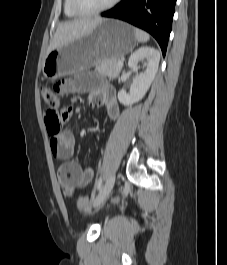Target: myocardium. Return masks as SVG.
Masks as SVG:
<instances>
[{"label": "myocardium", "instance_id": "obj_1", "mask_svg": "<svg viewBox=\"0 0 227 265\" xmlns=\"http://www.w3.org/2000/svg\"><path fill=\"white\" fill-rule=\"evenodd\" d=\"M71 1V6L72 9L79 15H96V14H100L103 13L105 11L110 10L111 8H113L120 0H111L109 3H107L106 5L97 8V9H93V10H86L83 9L78 0H70Z\"/></svg>", "mask_w": 227, "mask_h": 265}]
</instances>
